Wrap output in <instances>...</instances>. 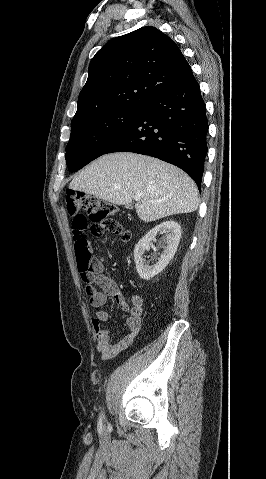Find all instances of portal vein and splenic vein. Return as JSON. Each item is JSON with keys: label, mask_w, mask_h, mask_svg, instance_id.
<instances>
[{"label": "portal vein and splenic vein", "mask_w": 266, "mask_h": 479, "mask_svg": "<svg viewBox=\"0 0 266 479\" xmlns=\"http://www.w3.org/2000/svg\"><path fill=\"white\" fill-rule=\"evenodd\" d=\"M140 198H141V195H139V194L134 196V200H135V201L140 200Z\"/></svg>", "instance_id": "1"}]
</instances>
